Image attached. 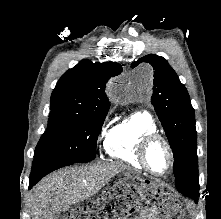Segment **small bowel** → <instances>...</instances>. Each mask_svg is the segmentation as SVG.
<instances>
[{
  "mask_svg": "<svg viewBox=\"0 0 221 219\" xmlns=\"http://www.w3.org/2000/svg\"><path fill=\"white\" fill-rule=\"evenodd\" d=\"M134 219H156L155 210L153 208H147Z\"/></svg>",
  "mask_w": 221,
  "mask_h": 219,
  "instance_id": "small-bowel-1",
  "label": "small bowel"
}]
</instances>
